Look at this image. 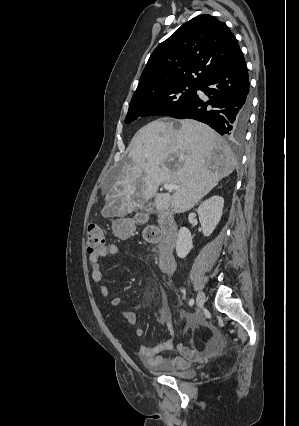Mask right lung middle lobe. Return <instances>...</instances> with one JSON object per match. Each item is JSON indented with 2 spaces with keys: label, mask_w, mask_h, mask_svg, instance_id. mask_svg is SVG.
Masks as SVG:
<instances>
[{
  "label": "right lung middle lobe",
  "mask_w": 299,
  "mask_h": 426,
  "mask_svg": "<svg viewBox=\"0 0 299 426\" xmlns=\"http://www.w3.org/2000/svg\"><path fill=\"white\" fill-rule=\"evenodd\" d=\"M198 86L197 84L173 85L131 101L125 123L144 116H170L195 96Z\"/></svg>",
  "instance_id": "right-lung-middle-lobe-1"
}]
</instances>
